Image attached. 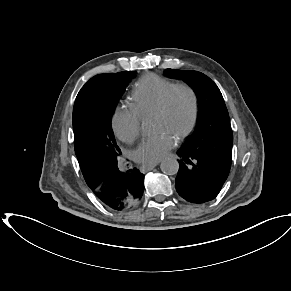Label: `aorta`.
I'll use <instances>...</instances> for the list:
<instances>
[{
	"label": "aorta",
	"mask_w": 291,
	"mask_h": 291,
	"mask_svg": "<svg viewBox=\"0 0 291 291\" xmlns=\"http://www.w3.org/2000/svg\"><path fill=\"white\" fill-rule=\"evenodd\" d=\"M161 171L167 175H174L179 170V163L174 158H166L161 162Z\"/></svg>",
	"instance_id": "obj_1"
}]
</instances>
